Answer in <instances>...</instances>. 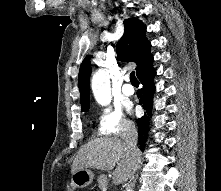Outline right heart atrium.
Here are the masks:
<instances>
[{
    "label": "right heart atrium",
    "mask_w": 221,
    "mask_h": 191,
    "mask_svg": "<svg viewBox=\"0 0 221 191\" xmlns=\"http://www.w3.org/2000/svg\"><path fill=\"white\" fill-rule=\"evenodd\" d=\"M132 130V123L119 107H105L96 117L95 132L99 136L122 137Z\"/></svg>",
    "instance_id": "obj_1"
}]
</instances>
